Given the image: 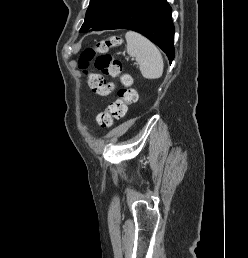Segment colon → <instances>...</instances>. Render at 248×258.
Listing matches in <instances>:
<instances>
[{
  "label": "colon",
  "instance_id": "obj_1",
  "mask_svg": "<svg viewBox=\"0 0 248 258\" xmlns=\"http://www.w3.org/2000/svg\"><path fill=\"white\" fill-rule=\"evenodd\" d=\"M119 43L120 38L117 36L101 39L93 46L85 48L79 60V68L82 71L85 72L89 64L93 62L95 68L101 72V74L91 73L87 77V84L95 94L105 96L111 92V87L103 76L119 78L120 80L117 99L97 116V123L102 129L111 127L113 120L124 118L128 106L134 104L137 100V93L132 88L131 76L123 73L121 61L108 53L110 47Z\"/></svg>",
  "mask_w": 248,
  "mask_h": 258
}]
</instances>
